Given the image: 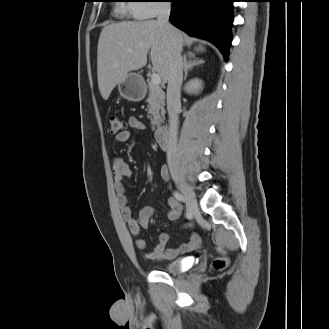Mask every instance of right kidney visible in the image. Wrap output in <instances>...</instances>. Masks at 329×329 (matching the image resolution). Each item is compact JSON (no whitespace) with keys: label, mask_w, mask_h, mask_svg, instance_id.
<instances>
[{"label":"right kidney","mask_w":329,"mask_h":329,"mask_svg":"<svg viewBox=\"0 0 329 329\" xmlns=\"http://www.w3.org/2000/svg\"><path fill=\"white\" fill-rule=\"evenodd\" d=\"M200 89H202V82L199 79H193L187 83L185 86V90L188 93H195L197 94Z\"/></svg>","instance_id":"ca27d5eb"}]
</instances>
